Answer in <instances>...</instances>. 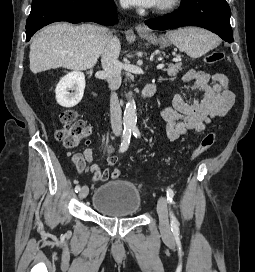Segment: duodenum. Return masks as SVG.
Here are the masks:
<instances>
[{
    "instance_id": "410a0bca",
    "label": "duodenum",
    "mask_w": 255,
    "mask_h": 272,
    "mask_svg": "<svg viewBox=\"0 0 255 272\" xmlns=\"http://www.w3.org/2000/svg\"><path fill=\"white\" fill-rule=\"evenodd\" d=\"M156 91V86L154 83H148L145 85V87L142 89L140 98L143 100L151 98Z\"/></svg>"
}]
</instances>
